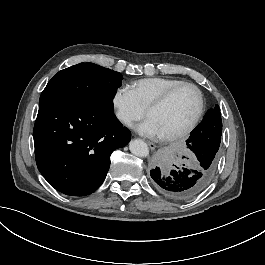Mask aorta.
Here are the masks:
<instances>
[{
    "label": "aorta",
    "instance_id": "762f6f07",
    "mask_svg": "<svg viewBox=\"0 0 265 265\" xmlns=\"http://www.w3.org/2000/svg\"><path fill=\"white\" fill-rule=\"evenodd\" d=\"M129 150L137 157H146L149 155L148 146L141 139L131 140L129 143Z\"/></svg>",
    "mask_w": 265,
    "mask_h": 265
}]
</instances>
